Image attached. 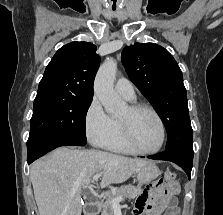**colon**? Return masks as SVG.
I'll use <instances>...</instances> for the list:
<instances>
[{"mask_svg": "<svg viewBox=\"0 0 223 215\" xmlns=\"http://www.w3.org/2000/svg\"><path fill=\"white\" fill-rule=\"evenodd\" d=\"M165 178L169 181H174V179L176 178V174L172 171H166Z\"/></svg>", "mask_w": 223, "mask_h": 215, "instance_id": "obj_1", "label": "colon"}]
</instances>
